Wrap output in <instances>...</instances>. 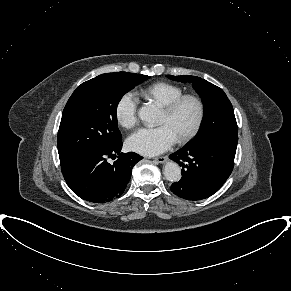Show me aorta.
Instances as JSON below:
<instances>
[{"mask_svg": "<svg viewBox=\"0 0 291 291\" xmlns=\"http://www.w3.org/2000/svg\"><path fill=\"white\" fill-rule=\"evenodd\" d=\"M159 110L156 106L146 104L138 111V117L148 125H155L158 120ZM163 174L166 180L177 182L181 178V169L176 162H167L164 166Z\"/></svg>", "mask_w": 291, "mask_h": 291, "instance_id": "aorta-1", "label": "aorta"}]
</instances>
